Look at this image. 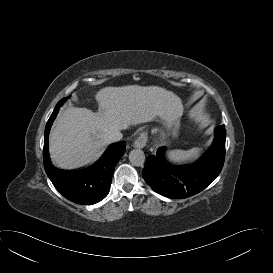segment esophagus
Returning <instances> with one entry per match:
<instances>
[{
  "label": "esophagus",
  "instance_id": "esophagus-1",
  "mask_svg": "<svg viewBox=\"0 0 273 273\" xmlns=\"http://www.w3.org/2000/svg\"><path fill=\"white\" fill-rule=\"evenodd\" d=\"M148 140V134L146 132H142L139 137L135 140L133 146L135 148H143L146 145V142Z\"/></svg>",
  "mask_w": 273,
  "mask_h": 273
}]
</instances>
